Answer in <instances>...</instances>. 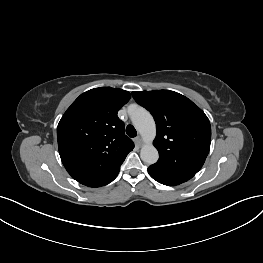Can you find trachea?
Returning <instances> with one entry per match:
<instances>
[{"label": "trachea", "mask_w": 263, "mask_h": 263, "mask_svg": "<svg viewBox=\"0 0 263 263\" xmlns=\"http://www.w3.org/2000/svg\"><path fill=\"white\" fill-rule=\"evenodd\" d=\"M126 133L129 137H136L137 136V131L132 125H128L126 127Z\"/></svg>", "instance_id": "3493384b"}]
</instances>
